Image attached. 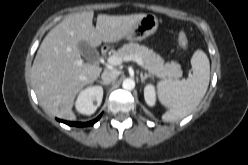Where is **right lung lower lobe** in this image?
<instances>
[{
  "instance_id": "98d812e1",
  "label": "right lung lower lobe",
  "mask_w": 248,
  "mask_h": 165,
  "mask_svg": "<svg viewBox=\"0 0 248 165\" xmlns=\"http://www.w3.org/2000/svg\"><path fill=\"white\" fill-rule=\"evenodd\" d=\"M101 115L94 119L93 121H90V122H87V123H81V122H69V121H64V120H58L60 122H63L67 125H70V126H77V127H83V126H90V125H93L94 123H96L99 119H100Z\"/></svg>"
}]
</instances>
